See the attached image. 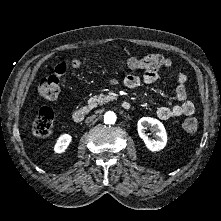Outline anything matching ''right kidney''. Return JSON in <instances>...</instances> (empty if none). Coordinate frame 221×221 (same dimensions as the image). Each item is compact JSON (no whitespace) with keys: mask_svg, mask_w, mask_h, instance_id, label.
Masks as SVG:
<instances>
[{"mask_svg":"<svg viewBox=\"0 0 221 221\" xmlns=\"http://www.w3.org/2000/svg\"><path fill=\"white\" fill-rule=\"evenodd\" d=\"M72 141V137L69 134H63L61 135L58 140L56 141V144L54 146L55 153H63L68 148L70 142Z\"/></svg>","mask_w":221,"mask_h":221,"instance_id":"right-kidney-1","label":"right kidney"}]
</instances>
